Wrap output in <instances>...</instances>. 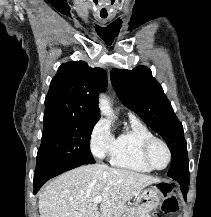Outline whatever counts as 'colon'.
<instances>
[{
    "instance_id": "obj_1",
    "label": "colon",
    "mask_w": 211,
    "mask_h": 217,
    "mask_svg": "<svg viewBox=\"0 0 211 217\" xmlns=\"http://www.w3.org/2000/svg\"><path fill=\"white\" fill-rule=\"evenodd\" d=\"M160 191L165 199L162 204V211L165 215H173L179 210V202L169 185L163 184L160 186Z\"/></svg>"
}]
</instances>
